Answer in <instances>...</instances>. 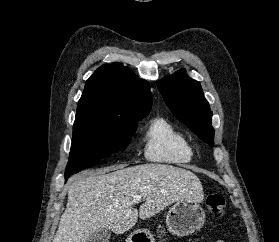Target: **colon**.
Instances as JSON below:
<instances>
[{
    "instance_id": "1",
    "label": "colon",
    "mask_w": 279,
    "mask_h": 242,
    "mask_svg": "<svg viewBox=\"0 0 279 242\" xmlns=\"http://www.w3.org/2000/svg\"><path fill=\"white\" fill-rule=\"evenodd\" d=\"M206 208L214 219H221L225 211V197L222 193H214L207 197Z\"/></svg>"
}]
</instances>
